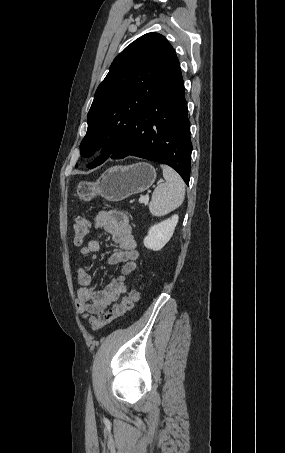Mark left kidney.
Instances as JSON below:
<instances>
[{
  "instance_id": "left-kidney-1",
  "label": "left kidney",
  "mask_w": 285,
  "mask_h": 453,
  "mask_svg": "<svg viewBox=\"0 0 285 453\" xmlns=\"http://www.w3.org/2000/svg\"><path fill=\"white\" fill-rule=\"evenodd\" d=\"M178 219V215H173L171 218L151 226L148 235L144 238V246L153 251L161 250L171 239Z\"/></svg>"
}]
</instances>
